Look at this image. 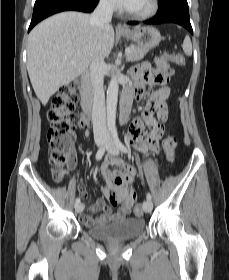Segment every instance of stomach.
I'll use <instances>...</instances> for the list:
<instances>
[{
	"label": "stomach",
	"instance_id": "obj_1",
	"mask_svg": "<svg viewBox=\"0 0 229 280\" xmlns=\"http://www.w3.org/2000/svg\"><path fill=\"white\" fill-rule=\"evenodd\" d=\"M122 34L123 36L133 40L138 47L148 50L159 45L162 39L160 32L151 26L137 28Z\"/></svg>",
	"mask_w": 229,
	"mask_h": 280
}]
</instances>
